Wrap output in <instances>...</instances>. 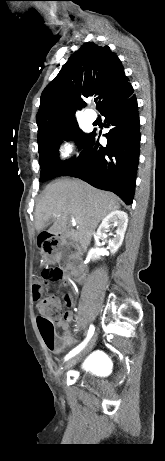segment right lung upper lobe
I'll list each match as a JSON object with an SVG mask.
<instances>
[{
	"mask_svg": "<svg viewBox=\"0 0 165 461\" xmlns=\"http://www.w3.org/2000/svg\"><path fill=\"white\" fill-rule=\"evenodd\" d=\"M122 62L108 46L83 44L72 54L41 95L36 116L38 139L65 123L75 120L83 99L97 95V109L103 112L133 94Z\"/></svg>",
	"mask_w": 165,
	"mask_h": 461,
	"instance_id": "right-lung-upper-lobe-1",
	"label": "right lung upper lobe"
}]
</instances>
